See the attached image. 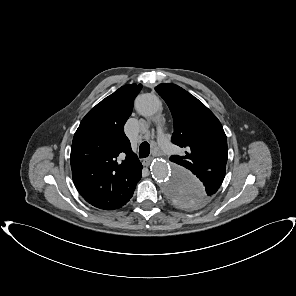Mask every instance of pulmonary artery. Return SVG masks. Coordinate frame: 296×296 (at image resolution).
<instances>
[{
  "label": "pulmonary artery",
  "mask_w": 296,
  "mask_h": 296,
  "mask_svg": "<svg viewBox=\"0 0 296 296\" xmlns=\"http://www.w3.org/2000/svg\"><path fill=\"white\" fill-rule=\"evenodd\" d=\"M158 142L165 153L171 154L173 152V147L166 141L165 135L161 128L158 130Z\"/></svg>",
  "instance_id": "pulmonary-artery-1"
}]
</instances>
